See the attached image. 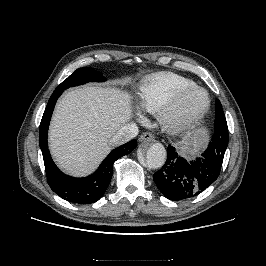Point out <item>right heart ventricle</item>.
I'll return each instance as SVG.
<instances>
[{
    "label": "right heart ventricle",
    "mask_w": 266,
    "mask_h": 266,
    "mask_svg": "<svg viewBox=\"0 0 266 266\" xmlns=\"http://www.w3.org/2000/svg\"><path fill=\"white\" fill-rule=\"evenodd\" d=\"M193 81L171 72H160L147 77L139 87L138 107L149 114H157L167 100L179 89Z\"/></svg>",
    "instance_id": "e07e8e85"
}]
</instances>
